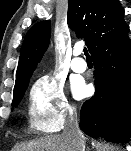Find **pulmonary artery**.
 I'll list each match as a JSON object with an SVG mask.
<instances>
[{"label": "pulmonary artery", "instance_id": "e3ab8cb5", "mask_svg": "<svg viewBox=\"0 0 131 151\" xmlns=\"http://www.w3.org/2000/svg\"><path fill=\"white\" fill-rule=\"evenodd\" d=\"M80 53V49L75 50L74 58L71 62V69L77 73H83L87 68L86 62L81 57H79Z\"/></svg>", "mask_w": 131, "mask_h": 151}]
</instances>
